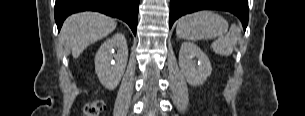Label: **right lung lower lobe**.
I'll return each mask as SVG.
<instances>
[{
	"instance_id": "obj_1",
	"label": "right lung lower lobe",
	"mask_w": 305,
	"mask_h": 116,
	"mask_svg": "<svg viewBox=\"0 0 305 116\" xmlns=\"http://www.w3.org/2000/svg\"><path fill=\"white\" fill-rule=\"evenodd\" d=\"M140 0H56L55 21L60 31L63 21L72 13L92 10L125 21L136 35Z\"/></svg>"
}]
</instances>
